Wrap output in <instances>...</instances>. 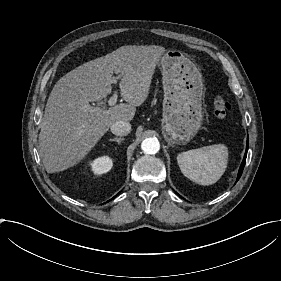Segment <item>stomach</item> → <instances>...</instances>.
<instances>
[{
  "instance_id": "1",
  "label": "stomach",
  "mask_w": 281,
  "mask_h": 281,
  "mask_svg": "<svg viewBox=\"0 0 281 281\" xmlns=\"http://www.w3.org/2000/svg\"><path fill=\"white\" fill-rule=\"evenodd\" d=\"M164 90L162 130L170 145H185L198 132L204 118V80L198 66L179 50L160 58Z\"/></svg>"
}]
</instances>
